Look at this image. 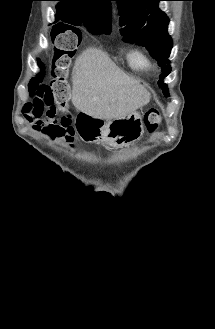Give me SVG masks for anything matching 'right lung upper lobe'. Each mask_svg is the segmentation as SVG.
<instances>
[{
  "label": "right lung upper lobe",
  "instance_id": "cb5924a9",
  "mask_svg": "<svg viewBox=\"0 0 215 329\" xmlns=\"http://www.w3.org/2000/svg\"><path fill=\"white\" fill-rule=\"evenodd\" d=\"M56 20L69 23L71 17H81L99 29L111 32V0H57ZM70 26V25H68Z\"/></svg>",
  "mask_w": 215,
  "mask_h": 329
}]
</instances>
